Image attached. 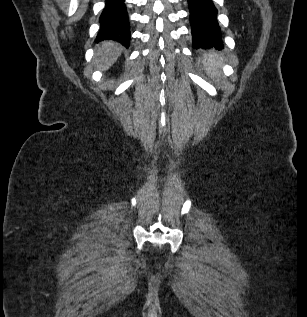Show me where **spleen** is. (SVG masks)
<instances>
[{"mask_svg":"<svg viewBox=\"0 0 307 317\" xmlns=\"http://www.w3.org/2000/svg\"><path fill=\"white\" fill-rule=\"evenodd\" d=\"M220 62V56L217 53L211 52L206 54L204 57V67L207 74L213 77L219 75Z\"/></svg>","mask_w":307,"mask_h":317,"instance_id":"obj_1","label":"spleen"}]
</instances>
